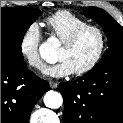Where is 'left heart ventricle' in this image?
<instances>
[{
    "instance_id": "b2bd125f",
    "label": "left heart ventricle",
    "mask_w": 123,
    "mask_h": 123,
    "mask_svg": "<svg viewBox=\"0 0 123 123\" xmlns=\"http://www.w3.org/2000/svg\"><path fill=\"white\" fill-rule=\"evenodd\" d=\"M98 48V34L94 31H88L72 47L65 48L61 46L57 52V59L67 61L76 71L91 62Z\"/></svg>"
}]
</instances>
